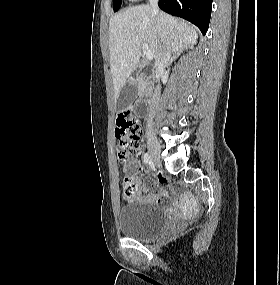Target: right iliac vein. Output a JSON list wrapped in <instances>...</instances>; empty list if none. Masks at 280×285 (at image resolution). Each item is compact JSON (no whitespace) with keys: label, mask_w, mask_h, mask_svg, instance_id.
Listing matches in <instances>:
<instances>
[{"label":"right iliac vein","mask_w":280,"mask_h":285,"mask_svg":"<svg viewBox=\"0 0 280 285\" xmlns=\"http://www.w3.org/2000/svg\"><path fill=\"white\" fill-rule=\"evenodd\" d=\"M148 149L150 153V160L153 164L159 165L160 164V146L157 139L153 135H148L147 137Z\"/></svg>","instance_id":"1"}]
</instances>
